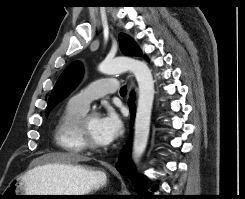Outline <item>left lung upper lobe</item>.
Segmentation results:
<instances>
[{
  "instance_id": "obj_1",
  "label": "left lung upper lobe",
  "mask_w": 245,
  "mask_h": 199,
  "mask_svg": "<svg viewBox=\"0 0 245 199\" xmlns=\"http://www.w3.org/2000/svg\"><path fill=\"white\" fill-rule=\"evenodd\" d=\"M120 49L124 55L141 56V51L135 41L126 34H119ZM83 69L79 62L71 63L61 74L54 86L46 108V116L49 112L77 86Z\"/></svg>"
}]
</instances>
